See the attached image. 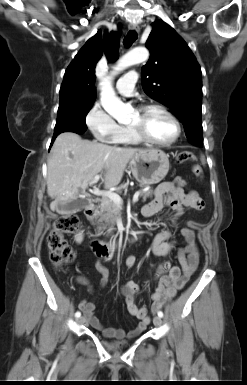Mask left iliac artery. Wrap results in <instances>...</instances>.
I'll use <instances>...</instances> for the list:
<instances>
[{"mask_svg": "<svg viewBox=\"0 0 247 385\" xmlns=\"http://www.w3.org/2000/svg\"><path fill=\"white\" fill-rule=\"evenodd\" d=\"M158 316L162 318L163 317V312L162 311H158Z\"/></svg>", "mask_w": 247, "mask_h": 385, "instance_id": "44dca946", "label": "left iliac artery"}]
</instances>
